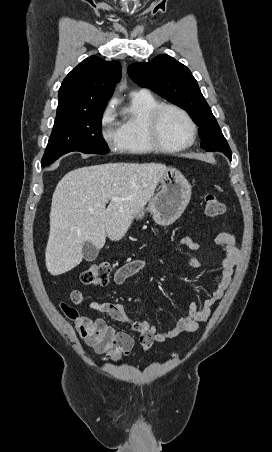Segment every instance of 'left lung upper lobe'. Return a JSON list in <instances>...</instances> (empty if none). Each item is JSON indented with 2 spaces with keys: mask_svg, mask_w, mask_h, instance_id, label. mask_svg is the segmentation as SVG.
Instances as JSON below:
<instances>
[{
  "mask_svg": "<svg viewBox=\"0 0 272 452\" xmlns=\"http://www.w3.org/2000/svg\"><path fill=\"white\" fill-rule=\"evenodd\" d=\"M128 74L140 87L149 88L169 102L187 110L199 126L203 149L221 151L228 158L232 156L230 147L197 81L185 65L162 54L150 62L129 65Z\"/></svg>",
  "mask_w": 272,
  "mask_h": 452,
  "instance_id": "obj_1",
  "label": "left lung upper lobe"
}]
</instances>
